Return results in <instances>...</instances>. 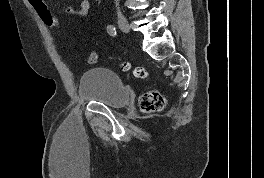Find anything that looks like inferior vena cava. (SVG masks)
I'll return each instance as SVG.
<instances>
[{"instance_id": "inferior-vena-cava-1", "label": "inferior vena cava", "mask_w": 264, "mask_h": 178, "mask_svg": "<svg viewBox=\"0 0 264 178\" xmlns=\"http://www.w3.org/2000/svg\"><path fill=\"white\" fill-rule=\"evenodd\" d=\"M115 4H116L117 9L119 10V0H115Z\"/></svg>"}]
</instances>
